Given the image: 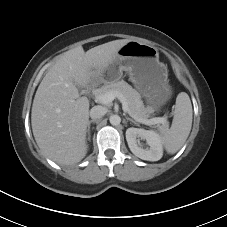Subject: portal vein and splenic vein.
<instances>
[{"mask_svg":"<svg viewBox=\"0 0 227 227\" xmlns=\"http://www.w3.org/2000/svg\"><path fill=\"white\" fill-rule=\"evenodd\" d=\"M116 97H118L120 99V101L122 103L123 111L128 113L129 112L128 104H127L126 100L124 99V97L122 95H119L118 93L108 92V93L99 95L96 98H97L98 102H100L102 104H109ZM134 118L138 122L146 124V125H154V124H158V123H164L166 121V119L163 118V117H155V118H152V119H142V118H138V117L134 116Z\"/></svg>","mask_w":227,"mask_h":227,"instance_id":"1","label":"portal vein and splenic vein"}]
</instances>
